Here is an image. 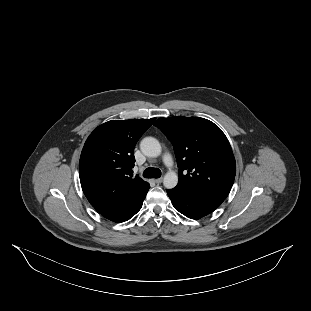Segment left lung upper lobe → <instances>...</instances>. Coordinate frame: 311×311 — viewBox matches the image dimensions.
<instances>
[{
	"mask_svg": "<svg viewBox=\"0 0 311 311\" xmlns=\"http://www.w3.org/2000/svg\"><path fill=\"white\" fill-rule=\"evenodd\" d=\"M173 145L177 187L225 200L234 182L235 158L228 139L213 122L198 117L159 118L154 123Z\"/></svg>",
	"mask_w": 311,
	"mask_h": 311,
	"instance_id": "left-lung-upper-lobe-1",
	"label": "left lung upper lobe"
}]
</instances>
